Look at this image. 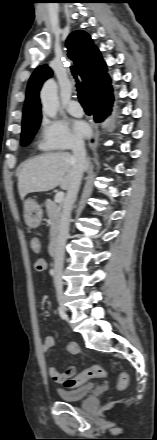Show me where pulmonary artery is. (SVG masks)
<instances>
[{"instance_id": "pulmonary-artery-1", "label": "pulmonary artery", "mask_w": 157, "mask_h": 440, "mask_svg": "<svg viewBox=\"0 0 157 440\" xmlns=\"http://www.w3.org/2000/svg\"><path fill=\"white\" fill-rule=\"evenodd\" d=\"M67 111L74 116H80L82 114V107L78 101L73 100L67 104Z\"/></svg>"}]
</instances>
